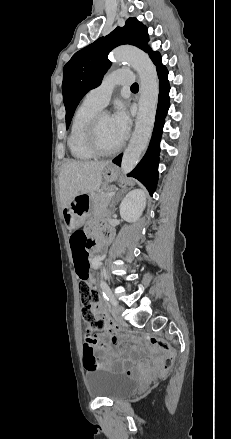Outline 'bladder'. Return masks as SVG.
Wrapping results in <instances>:
<instances>
[{
  "label": "bladder",
  "instance_id": "31cf9c89",
  "mask_svg": "<svg viewBox=\"0 0 231 439\" xmlns=\"http://www.w3.org/2000/svg\"><path fill=\"white\" fill-rule=\"evenodd\" d=\"M85 381L91 397L112 400L132 395L140 386L138 379L112 368L87 369Z\"/></svg>",
  "mask_w": 231,
  "mask_h": 439
}]
</instances>
